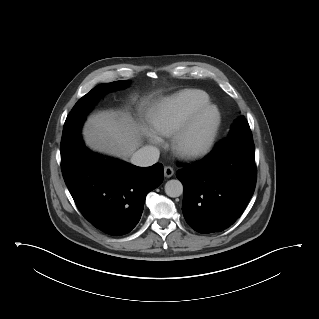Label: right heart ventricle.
Segmentation results:
<instances>
[{"instance_id": "obj_1", "label": "right heart ventricle", "mask_w": 319, "mask_h": 319, "mask_svg": "<svg viewBox=\"0 0 319 319\" xmlns=\"http://www.w3.org/2000/svg\"><path fill=\"white\" fill-rule=\"evenodd\" d=\"M210 102L207 93L197 89H185L159 100L152 108L149 121L160 135H175L200 106Z\"/></svg>"}]
</instances>
